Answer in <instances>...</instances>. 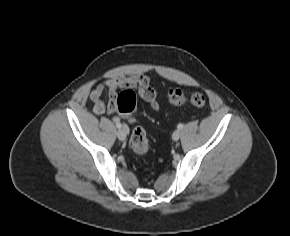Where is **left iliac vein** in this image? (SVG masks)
Here are the masks:
<instances>
[{
  "label": "left iliac vein",
  "instance_id": "1",
  "mask_svg": "<svg viewBox=\"0 0 290 236\" xmlns=\"http://www.w3.org/2000/svg\"><path fill=\"white\" fill-rule=\"evenodd\" d=\"M180 136H181V131L180 130H175L173 132V134H172V138H173L174 141L179 140Z\"/></svg>",
  "mask_w": 290,
  "mask_h": 236
}]
</instances>
